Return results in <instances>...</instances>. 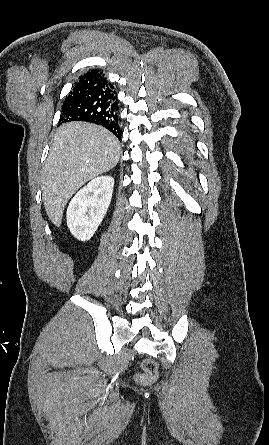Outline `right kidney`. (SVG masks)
Here are the masks:
<instances>
[{"label":"right kidney","mask_w":269,"mask_h":445,"mask_svg":"<svg viewBox=\"0 0 269 445\" xmlns=\"http://www.w3.org/2000/svg\"><path fill=\"white\" fill-rule=\"evenodd\" d=\"M113 187L111 176H100L92 179L72 198L66 218L75 238L88 241L94 235L109 208Z\"/></svg>","instance_id":"right-kidney-1"}]
</instances>
